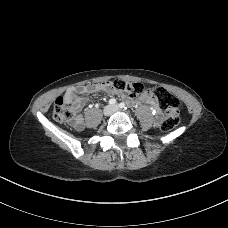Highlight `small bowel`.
I'll return each mask as SVG.
<instances>
[{"label":"small bowel","mask_w":228,"mask_h":228,"mask_svg":"<svg viewBox=\"0 0 228 228\" xmlns=\"http://www.w3.org/2000/svg\"><path fill=\"white\" fill-rule=\"evenodd\" d=\"M96 92L118 93L109 82H104L86 86H72L66 90L63 98L72 105L75 112H78L84 104V100L81 99L80 96L83 94ZM139 101L150 105L156 112L157 119H159L161 110L157 101L151 96V94H145L141 96ZM72 125L76 128H80L82 125V119L80 117H76L72 122Z\"/></svg>","instance_id":"obj_1"}]
</instances>
